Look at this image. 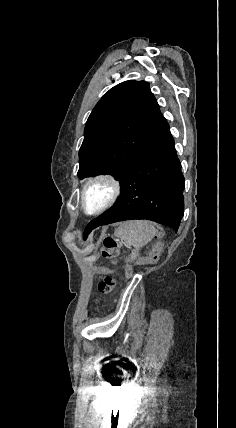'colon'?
<instances>
[{"mask_svg":"<svg viewBox=\"0 0 236 428\" xmlns=\"http://www.w3.org/2000/svg\"><path fill=\"white\" fill-rule=\"evenodd\" d=\"M119 249V243L113 237L107 236L103 240L102 253L106 257H115ZM125 275H131V269L125 268ZM116 285V279L113 277H105L98 284V290L100 293L109 294L112 292Z\"/></svg>","mask_w":236,"mask_h":428,"instance_id":"5ec220e1","label":"colon"}]
</instances>
